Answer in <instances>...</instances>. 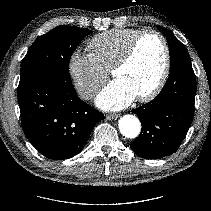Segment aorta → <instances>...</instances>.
Segmentation results:
<instances>
[{"instance_id":"aorta-1","label":"aorta","mask_w":211,"mask_h":211,"mask_svg":"<svg viewBox=\"0 0 211 211\" xmlns=\"http://www.w3.org/2000/svg\"><path fill=\"white\" fill-rule=\"evenodd\" d=\"M120 133L126 138H136L141 130V124L137 117L133 115H124L119 120Z\"/></svg>"}]
</instances>
